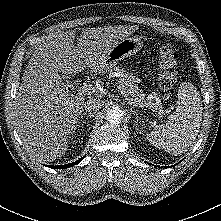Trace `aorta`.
I'll use <instances>...</instances> for the list:
<instances>
[{
  "label": "aorta",
  "instance_id": "aorta-1",
  "mask_svg": "<svg viewBox=\"0 0 221 221\" xmlns=\"http://www.w3.org/2000/svg\"><path fill=\"white\" fill-rule=\"evenodd\" d=\"M106 118L111 124H120L123 120V112L119 108H113L108 111Z\"/></svg>",
  "mask_w": 221,
  "mask_h": 221
}]
</instances>
